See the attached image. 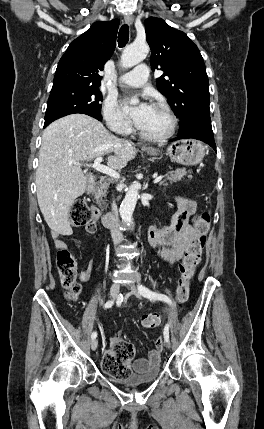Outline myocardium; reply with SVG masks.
Returning a JSON list of instances; mask_svg holds the SVG:
<instances>
[{
  "label": "myocardium",
  "instance_id": "obj_1",
  "mask_svg": "<svg viewBox=\"0 0 264 429\" xmlns=\"http://www.w3.org/2000/svg\"><path fill=\"white\" fill-rule=\"evenodd\" d=\"M152 107H155L157 109L162 110L167 115L169 122H170L169 128L162 135L149 136V135H146L145 133H143L138 127L137 128L138 135L143 140L150 141V142H161V141L167 140L175 133V130L177 127V118H176L175 114L173 113V111L170 109V107L168 105H166L165 103L156 102L152 105Z\"/></svg>",
  "mask_w": 264,
  "mask_h": 429
}]
</instances>
